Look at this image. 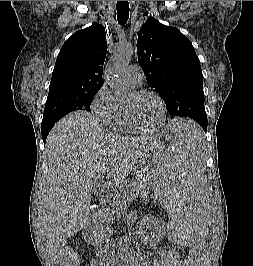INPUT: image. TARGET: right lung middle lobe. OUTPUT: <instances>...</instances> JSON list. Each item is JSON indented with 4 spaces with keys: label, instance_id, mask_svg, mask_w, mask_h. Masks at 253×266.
Returning a JSON list of instances; mask_svg holds the SVG:
<instances>
[{
    "label": "right lung middle lobe",
    "instance_id": "1",
    "mask_svg": "<svg viewBox=\"0 0 253 266\" xmlns=\"http://www.w3.org/2000/svg\"><path fill=\"white\" fill-rule=\"evenodd\" d=\"M98 91H63L48 95L41 128L54 126L59 119L69 112L91 111L90 104Z\"/></svg>",
    "mask_w": 253,
    "mask_h": 266
}]
</instances>
